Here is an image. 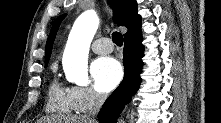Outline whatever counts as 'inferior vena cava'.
<instances>
[{"instance_id": "obj_1", "label": "inferior vena cava", "mask_w": 221, "mask_h": 123, "mask_svg": "<svg viewBox=\"0 0 221 123\" xmlns=\"http://www.w3.org/2000/svg\"><path fill=\"white\" fill-rule=\"evenodd\" d=\"M105 100H106L105 94H100V93L94 94V106H93V110L90 112L88 116L89 119H90V116L94 117L98 114Z\"/></svg>"}]
</instances>
